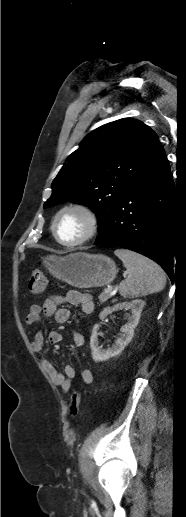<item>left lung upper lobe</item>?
Masks as SVG:
<instances>
[{
    "instance_id": "1",
    "label": "left lung upper lobe",
    "mask_w": 186,
    "mask_h": 517,
    "mask_svg": "<svg viewBox=\"0 0 186 517\" xmlns=\"http://www.w3.org/2000/svg\"><path fill=\"white\" fill-rule=\"evenodd\" d=\"M160 148L155 132L138 120L124 118L99 127L67 158L44 207L65 201L85 204L96 213L100 232Z\"/></svg>"
}]
</instances>
